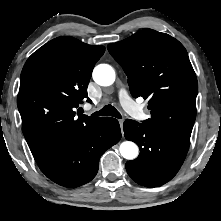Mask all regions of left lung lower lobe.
I'll return each instance as SVG.
<instances>
[{"mask_svg": "<svg viewBox=\"0 0 221 221\" xmlns=\"http://www.w3.org/2000/svg\"><path fill=\"white\" fill-rule=\"evenodd\" d=\"M124 135L140 148L139 156L126 163L129 176L138 184L157 187L179 171L189 149V141L166 135L150 125L127 119Z\"/></svg>", "mask_w": 221, "mask_h": 221, "instance_id": "0a47b994", "label": "left lung lower lobe"}]
</instances>
